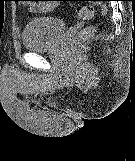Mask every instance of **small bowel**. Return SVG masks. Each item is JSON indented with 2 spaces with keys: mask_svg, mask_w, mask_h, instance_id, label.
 <instances>
[{
  "mask_svg": "<svg viewBox=\"0 0 135 161\" xmlns=\"http://www.w3.org/2000/svg\"><path fill=\"white\" fill-rule=\"evenodd\" d=\"M41 6H42L41 10H43V11H49V10L53 9L52 4H48V2H44Z\"/></svg>",
  "mask_w": 135,
  "mask_h": 161,
  "instance_id": "c3829d8e",
  "label": "small bowel"
}]
</instances>
